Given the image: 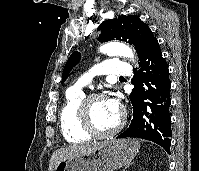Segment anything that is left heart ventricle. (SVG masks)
Listing matches in <instances>:
<instances>
[{"label":"left heart ventricle","mask_w":199,"mask_h":171,"mask_svg":"<svg viewBox=\"0 0 199 171\" xmlns=\"http://www.w3.org/2000/svg\"><path fill=\"white\" fill-rule=\"evenodd\" d=\"M91 113L95 126L100 130L112 128L117 123L120 116V113H113L108 108L105 98L92 102Z\"/></svg>","instance_id":"b2bd125f"}]
</instances>
